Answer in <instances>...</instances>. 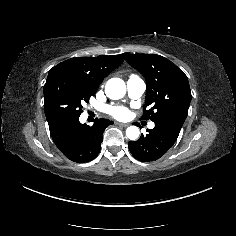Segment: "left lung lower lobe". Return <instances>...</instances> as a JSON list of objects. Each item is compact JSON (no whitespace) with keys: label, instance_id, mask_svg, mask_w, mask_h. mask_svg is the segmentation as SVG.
Wrapping results in <instances>:
<instances>
[{"label":"left lung lower lobe","instance_id":"0a47b994","mask_svg":"<svg viewBox=\"0 0 236 236\" xmlns=\"http://www.w3.org/2000/svg\"><path fill=\"white\" fill-rule=\"evenodd\" d=\"M184 119L168 116L154 121L155 127L147 129L137 141H129L132 155L141 162H150L161 158L176 142Z\"/></svg>","mask_w":236,"mask_h":236}]
</instances>
